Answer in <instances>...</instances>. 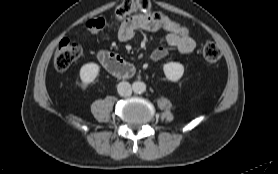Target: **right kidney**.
<instances>
[{"label": "right kidney", "instance_id": "ca27d5eb", "mask_svg": "<svg viewBox=\"0 0 278 174\" xmlns=\"http://www.w3.org/2000/svg\"><path fill=\"white\" fill-rule=\"evenodd\" d=\"M99 73V66L96 63L84 64L80 69L81 87L85 88L92 83Z\"/></svg>", "mask_w": 278, "mask_h": 174}]
</instances>
